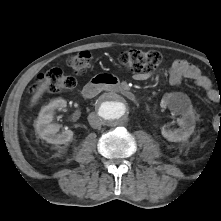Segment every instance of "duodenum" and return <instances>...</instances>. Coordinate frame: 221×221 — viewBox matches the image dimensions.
I'll use <instances>...</instances> for the list:
<instances>
[{"label":"duodenum","mask_w":221,"mask_h":221,"mask_svg":"<svg viewBox=\"0 0 221 221\" xmlns=\"http://www.w3.org/2000/svg\"><path fill=\"white\" fill-rule=\"evenodd\" d=\"M109 91L124 96L129 100H135V94L128 88L121 86L112 76L100 75L93 77L83 88V96L87 99L95 97L101 90Z\"/></svg>","instance_id":"obj_1"}]
</instances>
